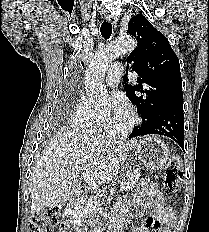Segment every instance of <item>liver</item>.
Wrapping results in <instances>:
<instances>
[{
  "label": "liver",
  "mask_w": 209,
  "mask_h": 232,
  "mask_svg": "<svg viewBox=\"0 0 209 232\" xmlns=\"http://www.w3.org/2000/svg\"><path fill=\"white\" fill-rule=\"evenodd\" d=\"M136 144V140H105L71 130L58 133L33 168L31 213L59 206L77 195L82 188V171L89 172L99 184L110 182Z\"/></svg>",
  "instance_id": "1"
}]
</instances>
